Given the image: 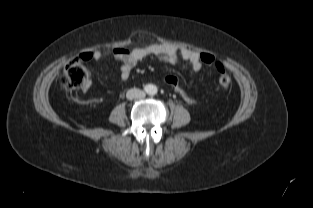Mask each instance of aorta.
I'll return each mask as SVG.
<instances>
[{"instance_id":"aorta-1","label":"aorta","mask_w":313,"mask_h":208,"mask_svg":"<svg viewBox=\"0 0 313 208\" xmlns=\"http://www.w3.org/2000/svg\"><path fill=\"white\" fill-rule=\"evenodd\" d=\"M148 93L154 95L157 93V87L154 85L149 86Z\"/></svg>"}]
</instances>
